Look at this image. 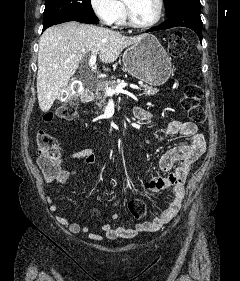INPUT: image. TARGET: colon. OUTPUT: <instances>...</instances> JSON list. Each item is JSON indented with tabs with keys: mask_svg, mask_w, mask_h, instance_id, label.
Segmentation results:
<instances>
[{
	"mask_svg": "<svg viewBox=\"0 0 240 281\" xmlns=\"http://www.w3.org/2000/svg\"><path fill=\"white\" fill-rule=\"evenodd\" d=\"M187 42L184 36L176 32L169 39V52L175 57L184 55L187 51ZM203 96L202 89L197 84H188L184 87L181 98L182 108L187 112L189 119L196 124L202 125L206 120V115L201 106ZM77 113V104L69 99L61 102L55 109L54 114L46 117L50 121L55 115L64 120H72ZM37 147L40 153L39 165L46 175H55L60 166V147L57 139L50 133L40 130L36 135ZM128 209L136 219H141L146 214V204L138 198L128 202Z\"/></svg>",
	"mask_w": 240,
	"mask_h": 281,
	"instance_id": "obj_1",
	"label": "colon"
}]
</instances>
